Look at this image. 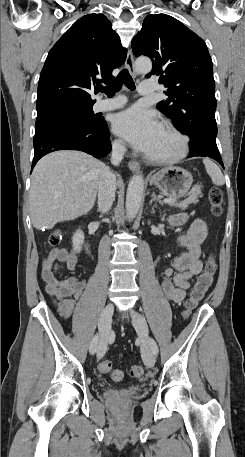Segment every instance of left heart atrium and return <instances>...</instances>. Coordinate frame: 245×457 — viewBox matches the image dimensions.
<instances>
[{
	"label": "left heart atrium",
	"instance_id": "obj_1",
	"mask_svg": "<svg viewBox=\"0 0 245 457\" xmlns=\"http://www.w3.org/2000/svg\"><path fill=\"white\" fill-rule=\"evenodd\" d=\"M113 130L137 150L147 151L156 142L161 125L151 111L133 107L117 115Z\"/></svg>",
	"mask_w": 245,
	"mask_h": 457
}]
</instances>
